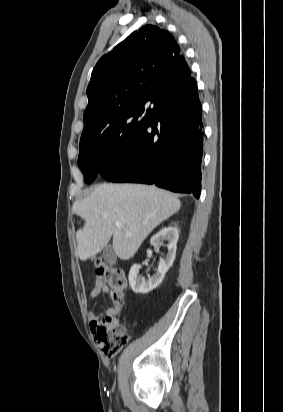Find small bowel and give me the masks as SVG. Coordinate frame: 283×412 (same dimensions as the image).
<instances>
[{"mask_svg": "<svg viewBox=\"0 0 283 412\" xmlns=\"http://www.w3.org/2000/svg\"><path fill=\"white\" fill-rule=\"evenodd\" d=\"M108 288L105 285V283L103 282V280L101 279H96L94 282V286L90 292L89 298L90 299H95L96 297H98L101 293H105L107 292ZM121 309L120 308H110L106 311V315L107 314H111V313H115V312H120ZM88 317H89V321L90 323L96 321L99 319L100 315H98L97 313H95L94 311H89L88 313Z\"/></svg>", "mask_w": 283, "mask_h": 412, "instance_id": "small-bowel-1", "label": "small bowel"}]
</instances>
